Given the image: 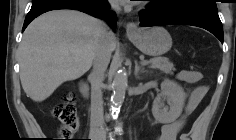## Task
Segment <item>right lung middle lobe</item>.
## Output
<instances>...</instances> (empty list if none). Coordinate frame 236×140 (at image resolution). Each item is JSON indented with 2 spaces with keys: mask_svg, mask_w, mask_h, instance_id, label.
<instances>
[{
  "mask_svg": "<svg viewBox=\"0 0 236 140\" xmlns=\"http://www.w3.org/2000/svg\"><path fill=\"white\" fill-rule=\"evenodd\" d=\"M36 1V0H33ZM91 2H93L94 4H101L102 0H90Z\"/></svg>",
  "mask_w": 236,
  "mask_h": 140,
  "instance_id": "obj_1",
  "label": "right lung middle lobe"
}]
</instances>
